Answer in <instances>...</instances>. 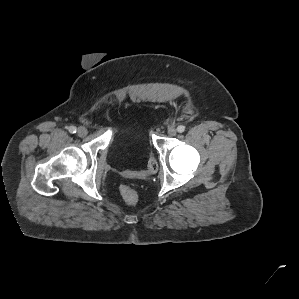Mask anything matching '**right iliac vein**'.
<instances>
[{
	"label": "right iliac vein",
	"instance_id": "right-iliac-vein-1",
	"mask_svg": "<svg viewBox=\"0 0 299 299\" xmlns=\"http://www.w3.org/2000/svg\"><path fill=\"white\" fill-rule=\"evenodd\" d=\"M87 133H88V130H87L85 127H83V126H81V127H79V128L77 129V134H78V136H80V137H84V136H86Z\"/></svg>",
	"mask_w": 299,
	"mask_h": 299
}]
</instances>
